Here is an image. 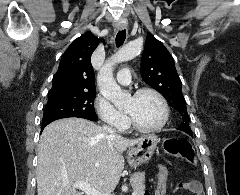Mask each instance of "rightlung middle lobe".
Instances as JSON below:
<instances>
[{"label":"right lung middle lobe","instance_id":"dd1d6c3e","mask_svg":"<svg viewBox=\"0 0 240 195\" xmlns=\"http://www.w3.org/2000/svg\"><path fill=\"white\" fill-rule=\"evenodd\" d=\"M95 92H68L49 95L42 125L67 117L96 118Z\"/></svg>","mask_w":240,"mask_h":195}]
</instances>
